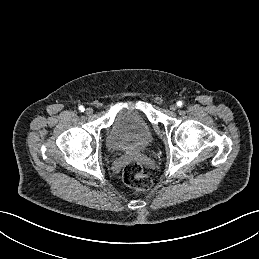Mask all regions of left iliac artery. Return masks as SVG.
I'll return each mask as SVG.
<instances>
[{
  "label": "left iliac artery",
  "mask_w": 259,
  "mask_h": 259,
  "mask_svg": "<svg viewBox=\"0 0 259 259\" xmlns=\"http://www.w3.org/2000/svg\"><path fill=\"white\" fill-rule=\"evenodd\" d=\"M183 105V102L182 101H178L177 102V106L181 107Z\"/></svg>",
  "instance_id": "1"
}]
</instances>
